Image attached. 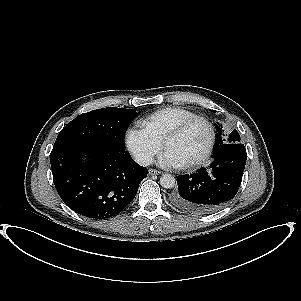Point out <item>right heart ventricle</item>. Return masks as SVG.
Instances as JSON below:
<instances>
[{
  "mask_svg": "<svg viewBox=\"0 0 301 301\" xmlns=\"http://www.w3.org/2000/svg\"><path fill=\"white\" fill-rule=\"evenodd\" d=\"M196 116L195 113L179 108L167 107L156 111L142 121L144 129L158 141H162L165 135L176 125L184 120Z\"/></svg>",
  "mask_w": 301,
  "mask_h": 301,
  "instance_id": "right-heart-ventricle-1",
  "label": "right heart ventricle"
}]
</instances>
